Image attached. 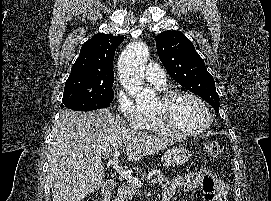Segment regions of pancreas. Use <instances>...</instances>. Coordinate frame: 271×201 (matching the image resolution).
<instances>
[{
  "label": "pancreas",
  "instance_id": "cf45deb5",
  "mask_svg": "<svg viewBox=\"0 0 271 201\" xmlns=\"http://www.w3.org/2000/svg\"><path fill=\"white\" fill-rule=\"evenodd\" d=\"M155 175L157 177L159 185L162 188L167 189L170 184L168 178L163 176L161 172H156ZM138 195H139L138 187L133 184L127 183L120 188L115 201H124L125 199L126 200L132 199L133 197Z\"/></svg>",
  "mask_w": 271,
  "mask_h": 201
}]
</instances>
